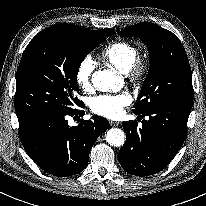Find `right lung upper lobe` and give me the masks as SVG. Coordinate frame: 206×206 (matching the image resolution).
I'll return each mask as SVG.
<instances>
[{"instance_id": "1", "label": "right lung upper lobe", "mask_w": 206, "mask_h": 206, "mask_svg": "<svg viewBox=\"0 0 206 206\" xmlns=\"http://www.w3.org/2000/svg\"><path fill=\"white\" fill-rule=\"evenodd\" d=\"M69 25H70V24H69ZM72 26H75V27H77V28H81V29L86 30V31H92V30L86 29V28H84V27H82V26H76V25H72Z\"/></svg>"}]
</instances>
